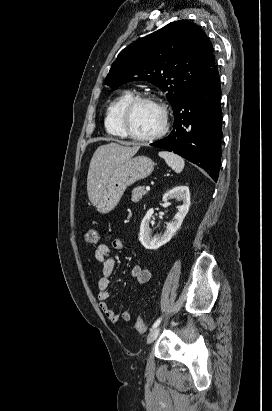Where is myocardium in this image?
Returning <instances> with one entry per match:
<instances>
[{"instance_id":"1","label":"myocardium","mask_w":272,"mask_h":411,"mask_svg":"<svg viewBox=\"0 0 272 411\" xmlns=\"http://www.w3.org/2000/svg\"><path fill=\"white\" fill-rule=\"evenodd\" d=\"M144 102L152 103L156 105L162 113V125L160 129L154 134L147 135V136H141V135L135 134L134 132L130 130L129 124H128L129 116H130L132 109L137 104L144 103ZM120 125H121V128L125 136L132 140L140 141V142H152V141L158 140L162 138L168 132V129H169V115H168L167 107L159 98H156L155 96H151V95L133 96L125 103V105L121 109Z\"/></svg>"}]
</instances>
